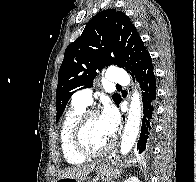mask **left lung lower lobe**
Returning <instances> with one entry per match:
<instances>
[{"label":"left lung lower lobe","mask_w":196,"mask_h":182,"mask_svg":"<svg viewBox=\"0 0 196 182\" xmlns=\"http://www.w3.org/2000/svg\"><path fill=\"white\" fill-rule=\"evenodd\" d=\"M131 75L133 79H137L143 91V119L140 138L137 143V153L146 158L151 151L156 119V78L150 54L143 59L139 68Z\"/></svg>","instance_id":"left-lung-lower-lobe-1"}]
</instances>
